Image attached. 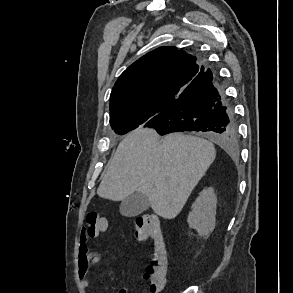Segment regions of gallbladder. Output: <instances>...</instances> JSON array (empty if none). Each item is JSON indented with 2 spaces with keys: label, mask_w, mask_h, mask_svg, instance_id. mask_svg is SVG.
<instances>
[{
  "label": "gallbladder",
  "mask_w": 293,
  "mask_h": 293,
  "mask_svg": "<svg viewBox=\"0 0 293 293\" xmlns=\"http://www.w3.org/2000/svg\"><path fill=\"white\" fill-rule=\"evenodd\" d=\"M150 207L148 197L140 192H135L125 198L120 204V213L126 217H135Z\"/></svg>",
  "instance_id": "gallbladder-1"
}]
</instances>
